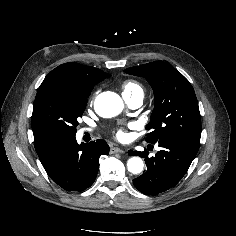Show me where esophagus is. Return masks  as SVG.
<instances>
[{"instance_id": "obj_1", "label": "esophagus", "mask_w": 236, "mask_h": 236, "mask_svg": "<svg viewBox=\"0 0 236 236\" xmlns=\"http://www.w3.org/2000/svg\"><path fill=\"white\" fill-rule=\"evenodd\" d=\"M125 151L121 148L118 147H111L110 148V154H115V153H124Z\"/></svg>"}]
</instances>
